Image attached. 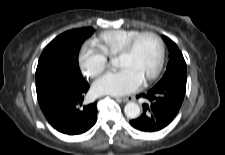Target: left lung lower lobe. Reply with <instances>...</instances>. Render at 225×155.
I'll return each instance as SVG.
<instances>
[{"instance_id":"0a47b994","label":"left lung lower lobe","mask_w":225,"mask_h":155,"mask_svg":"<svg viewBox=\"0 0 225 155\" xmlns=\"http://www.w3.org/2000/svg\"><path fill=\"white\" fill-rule=\"evenodd\" d=\"M186 86L179 83L156 84L146 94L138 95L149 100L143 104L142 115L130 121V125L145 132L159 131L176 117L185 95Z\"/></svg>"}]
</instances>
